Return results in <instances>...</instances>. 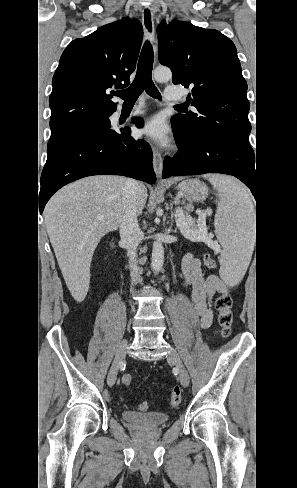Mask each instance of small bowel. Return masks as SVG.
<instances>
[{
	"instance_id": "1",
	"label": "small bowel",
	"mask_w": 297,
	"mask_h": 488,
	"mask_svg": "<svg viewBox=\"0 0 297 488\" xmlns=\"http://www.w3.org/2000/svg\"><path fill=\"white\" fill-rule=\"evenodd\" d=\"M181 269L183 286L191 289L193 312L199 318L201 327L208 329L213 321V298L216 294L229 296V287L218 275L205 277L201 261L191 253L183 257Z\"/></svg>"
}]
</instances>
